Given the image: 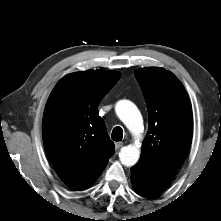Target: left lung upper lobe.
Instances as JSON below:
<instances>
[{
    "label": "left lung upper lobe",
    "mask_w": 221,
    "mask_h": 221,
    "mask_svg": "<svg viewBox=\"0 0 221 221\" xmlns=\"http://www.w3.org/2000/svg\"><path fill=\"white\" fill-rule=\"evenodd\" d=\"M134 74L149 117L139 162L173 178L188 154L193 135L188 94L178 78L163 68L139 69Z\"/></svg>",
    "instance_id": "1"
}]
</instances>
